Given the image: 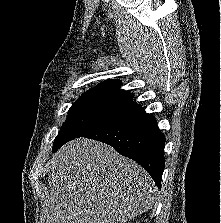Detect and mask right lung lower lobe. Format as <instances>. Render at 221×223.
<instances>
[{"label": "right lung lower lobe", "mask_w": 221, "mask_h": 223, "mask_svg": "<svg viewBox=\"0 0 221 223\" xmlns=\"http://www.w3.org/2000/svg\"><path fill=\"white\" fill-rule=\"evenodd\" d=\"M111 145L119 154L139 163L160 188L165 166V137L154 116L139 106L123 118L81 136Z\"/></svg>", "instance_id": "98d812e1"}]
</instances>
